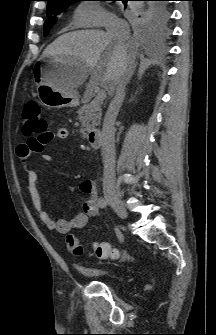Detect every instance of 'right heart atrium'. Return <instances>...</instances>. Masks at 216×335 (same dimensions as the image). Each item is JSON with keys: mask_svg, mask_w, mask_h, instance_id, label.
I'll return each instance as SVG.
<instances>
[{"mask_svg": "<svg viewBox=\"0 0 216 335\" xmlns=\"http://www.w3.org/2000/svg\"><path fill=\"white\" fill-rule=\"evenodd\" d=\"M75 22L79 27H102L116 21V17L94 1H82L74 11Z\"/></svg>", "mask_w": 216, "mask_h": 335, "instance_id": "1", "label": "right heart atrium"}]
</instances>
